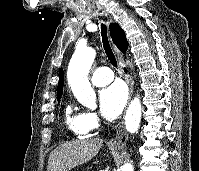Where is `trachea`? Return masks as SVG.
<instances>
[{
	"label": "trachea",
	"instance_id": "1",
	"mask_svg": "<svg viewBox=\"0 0 199 171\" xmlns=\"http://www.w3.org/2000/svg\"><path fill=\"white\" fill-rule=\"evenodd\" d=\"M101 36H102V42H103V47H104L105 53H106L110 63L114 67L117 68V60H116L115 54L111 48V45L109 43L107 28L103 23L101 24Z\"/></svg>",
	"mask_w": 199,
	"mask_h": 171
}]
</instances>
